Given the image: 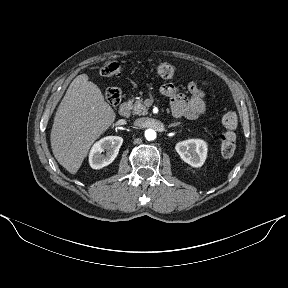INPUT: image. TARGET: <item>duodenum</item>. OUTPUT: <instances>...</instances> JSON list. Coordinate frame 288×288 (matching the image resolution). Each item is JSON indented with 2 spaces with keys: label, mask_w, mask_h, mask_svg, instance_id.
Instances as JSON below:
<instances>
[{
  "label": "duodenum",
  "mask_w": 288,
  "mask_h": 288,
  "mask_svg": "<svg viewBox=\"0 0 288 288\" xmlns=\"http://www.w3.org/2000/svg\"><path fill=\"white\" fill-rule=\"evenodd\" d=\"M130 105L128 102H123L119 107V114L123 117H128L130 115Z\"/></svg>",
  "instance_id": "duodenum-1"
}]
</instances>
